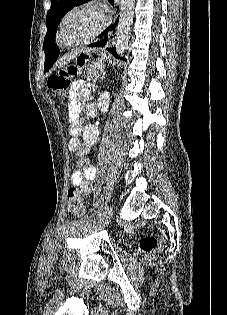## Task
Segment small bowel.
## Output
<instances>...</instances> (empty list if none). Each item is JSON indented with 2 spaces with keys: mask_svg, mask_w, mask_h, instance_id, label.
Segmentation results:
<instances>
[{
  "mask_svg": "<svg viewBox=\"0 0 227 315\" xmlns=\"http://www.w3.org/2000/svg\"><path fill=\"white\" fill-rule=\"evenodd\" d=\"M89 98V85L84 81H76L70 90L69 113L71 122V135L68 147L72 153L73 161L78 165L79 170L72 172L70 182L80 188L81 192L89 195L92 192V182L96 176V169L85 157L86 149L81 148L78 135L80 133L79 113L80 101Z\"/></svg>",
  "mask_w": 227,
  "mask_h": 315,
  "instance_id": "c3829d8e",
  "label": "small bowel"
}]
</instances>
